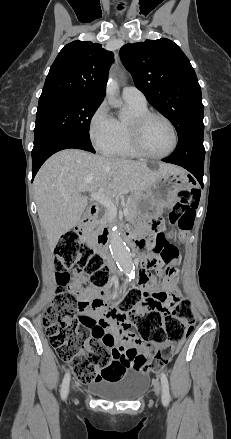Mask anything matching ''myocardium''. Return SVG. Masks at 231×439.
Returning a JSON list of instances; mask_svg holds the SVG:
<instances>
[{"mask_svg":"<svg viewBox=\"0 0 231 439\" xmlns=\"http://www.w3.org/2000/svg\"><path fill=\"white\" fill-rule=\"evenodd\" d=\"M152 118H159V119L165 121L171 129V132L173 135V145L170 148V150L167 151L166 153L152 154L145 148V146L142 142L143 128H144L145 124ZM129 133H130V142H131L133 149L140 156L145 157V158H149V159H163V158L169 157L170 155H172L175 152V150L178 147V143H179L178 132H177V129H176L174 123L166 115L159 113V112L147 111L145 113L134 116L130 121Z\"/></svg>","mask_w":231,"mask_h":439,"instance_id":"f54148a6","label":"myocardium"}]
</instances>
